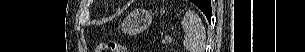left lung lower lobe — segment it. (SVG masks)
<instances>
[{"mask_svg":"<svg viewBox=\"0 0 305 52\" xmlns=\"http://www.w3.org/2000/svg\"><path fill=\"white\" fill-rule=\"evenodd\" d=\"M201 10L206 15L208 21H210L211 20V2H210V0L204 1V7L201 8Z\"/></svg>","mask_w":305,"mask_h":52,"instance_id":"0a47b994","label":"left lung lower lobe"}]
</instances>
